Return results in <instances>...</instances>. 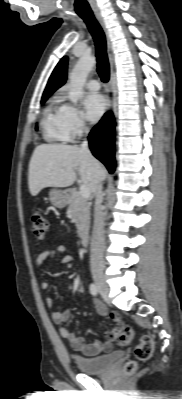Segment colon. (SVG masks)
<instances>
[{
    "mask_svg": "<svg viewBox=\"0 0 182 399\" xmlns=\"http://www.w3.org/2000/svg\"><path fill=\"white\" fill-rule=\"evenodd\" d=\"M48 222L45 217L38 212L31 216V232L37 239H42L48 231ZM134 337V328L129 325H121L119 332V341L122 345L131 343ZM154 350V340L150 335H143L135 348L136 360L128 361L124 366V372L131 374L137 369V361L148 360Z\"/></svg>",
    "mask_w": 182,
    "mask_h": 399,
    "instance_id": "colon-1",
    "label": "colon"
}]
</instances>
